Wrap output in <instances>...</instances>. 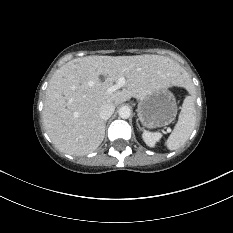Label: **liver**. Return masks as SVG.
<instances>
[{"instance_id": "6515ba94", "label": "liver", "mask_w": 233, "mask_h": 233, "mask_svg": "<svg viewBox=\"0 0 233 233\" xmlns=\"http://www.w3.org/2000/svg\"><path fill=\"white\" fill-rule=\"evenodd\" d=\"M100 76L104 77L101 80ZM120 77L122 90L108 93ZM185 71L160 55L86 56L60 67L46 90L43 123L55 147L70 155L93 152L104 139V104L119 105L152 92L183 85Z\"/></svg>"}]
</instances>
